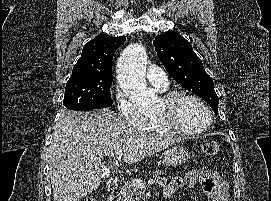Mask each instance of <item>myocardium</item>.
<instances>
[{"label": "myocardium", "mask_w": 271, "mask_h": 201, "mask_svg": "<svg viewBox=\"0 0 271 201\" xmlns=\"http://www.w3.org/2000/svg\"><path fill=\"white\" fill-rule=\"evenodd\" d=\"M181 99H191L203 106L209 115V122L206 126L199 129H187L177 124L169 113L155 114V118L166 130L175 135L189 136L203 133L213 125L215 118L210 106L197 95L185 91H171L164 93L160 98L161 102L168 108L173 107Z\"/></svg>", "instance_id": "myocardium-1"}]
</instances>
